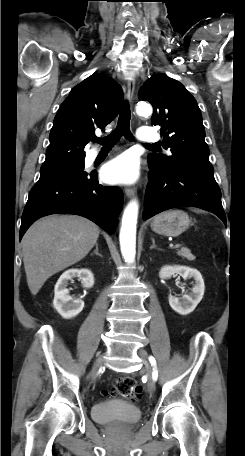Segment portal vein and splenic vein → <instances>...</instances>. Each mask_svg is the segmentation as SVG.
<instances>
[{"label":"portal vein and splenic vein","instance_id":"obj_1","mask_svg":"<svg viewBox=\"0 0 245 456\" xmlns=\"http://www.w3.org/2000/svg\"><path fill=\"white\" fill-rule=\"evenodd\" d=\"M170 248H179L180 244H170Z\"/></svg>","mask_w":245,"mask_h":456}]
</instances>
